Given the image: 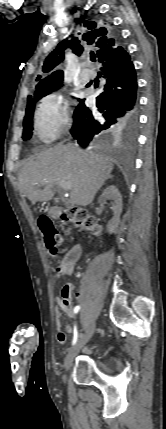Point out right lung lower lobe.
I'll use <instances>...</instances> for the list:
<instances>
[{
    "instance_id": "98d812e1",
    "label": "right lung lower lobe",
    "mask_w": 166,
    "mask_h": 429,
    "mask_svg": "<svg viewBox=\"0 0 166 429\" xmlns=\"http://www.w3.org/2000/svg\"><path fill=\"white\" fill-rule=\"evenodd\" d=\"M101 63L107 83L96 98V109H89L84 99H78L73 114L70 132L82 147H87L105 130L131 134L138 124L137 76L129 54L124 49L117 57Z\"/></svg>"
}]
</instances>
